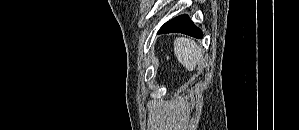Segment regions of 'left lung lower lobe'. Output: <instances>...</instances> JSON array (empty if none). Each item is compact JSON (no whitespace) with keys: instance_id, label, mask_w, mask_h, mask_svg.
<instances>
[{"instance_id":"0a47b994","label":"left lung lower lobe","mask_w":299,"mask_h":130,"mask_svg":"<svg viewBox=\"0 0 299 130\" xmlns=\"http://www.w3.org/2000/svg\"><path fill=\"white\" fill-rule=\"evenodd\" d=\"M183 33L195 38H203L202 31L194 25L187 15H181L165 23L158 34L160 33Z\"/></svg>"}]
</instances>
